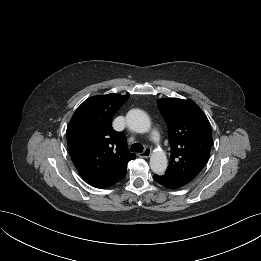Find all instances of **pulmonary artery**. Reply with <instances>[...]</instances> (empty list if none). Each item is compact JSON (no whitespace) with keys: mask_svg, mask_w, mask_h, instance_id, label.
Returning a JSON list of instances; mask_svg holds the SVG:
<instances>
[{"mask_svg":"<svg viewBox=\"0 0 261 261\" xmlns=\"http://www.w3.org/2000/svg\"><path fill=\"white\" fill-rule=\"evenodd\" d=\"M152 138H153V140L154 141H159V134H158V131L156 130V129H154L153 131H152Z\"/></svg>","mask_w":261,"mask_h":261,"instance_id":"obj_1","label":"pulmonary artery"}]
</instances>
